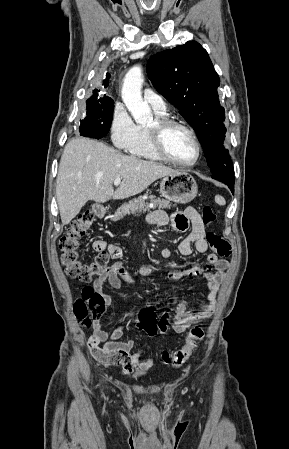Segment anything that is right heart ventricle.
<instances>
[{
  "instance_id": "obj_1",
  "label": "right heart ventricle",
  "mask_w": 289,
  "mask_h": 449,
  "mask_svg": "<svg viewBox=\"0 0 289 449\" xmlns=\"http://www.w3.org/2000/svg\"><path fill=\"white\" fill-rule=\"evenodd\" d=\"M156 115L158 117H166L165 111H157L154 110ZM131 153L137 157L145 158V159H152V160H160L161 158L158 156V154L153 149L148 128H141L140 127V139L138 144L135 146V148L131 151Z\"/></svg>"
}]
</instances>
